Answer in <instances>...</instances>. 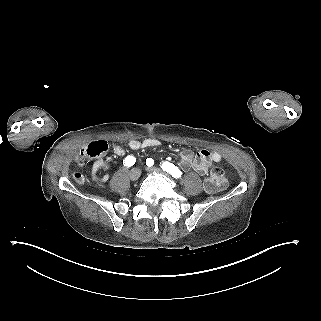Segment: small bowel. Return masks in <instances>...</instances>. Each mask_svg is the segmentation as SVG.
Wrapping results in <instances>:
<instances>
[{
  "mask_svg": "<svg viewBox=\"0 0 321 321\" xmlns=\"http://www.w3.org/2000/svg\"><path fill=\"white\" fill-rule=\"evenodd\" d=\"M160 144V141L155 138H149L144 140H136L133 139L129 141V147L133 150H139L142 148H148V147H156ZM89 147L96 148L99 152L97 154H92L90 156L98 158L93 166H92V177L94 180L98 182H106L109 178V174L107 173L110 162L106 160L103 156L108 151L109 146L106 141H95L92 144L89 145ZM113 152L117 156H123L125 154V149L123 146L119 144H114L112 146ZM221 154L215 151H209L206 149H201L197 153H193L189 150H183L179 155V165L184 170H190L193 169L200 175H206L212 166L213 163L219 162L221 160ZM85 157H77L76 161L78 163L84 162ZM99 170H104L106 173L99 177L97 175V172Z\"/></svg>",
  "mask_w": 321,
  "mask_h": 321,
  "instance_id": "1",
  "label": "small bowel"
}]
</instances>
